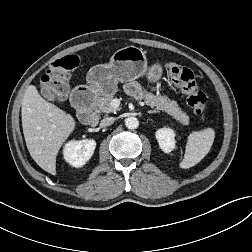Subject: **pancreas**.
Wrapping results in <instances>:
<instances>
[{
	"mask_svg": "<svg viewBox=\"0 0 252 252\" xmlns=\"http://www.w3.org/2000/svg\"><path fill=\"white\" fill-rule=\"evenodd\" d=\"M113 99L114 94L99 98L97 101L99 110L103 113L115 112L117 108L112 106ZM144 102L150 107H155L158 112H166L182 125H188L189 123V116L179 108L175 101L170 100L167 96L154 95L145 91Z\"/></svg>",
	"mask_w": 252,
	"mask_h": 252,
	"instance_id": "pancreas-1",
	"label": "pancreas"
}]
</instances>
